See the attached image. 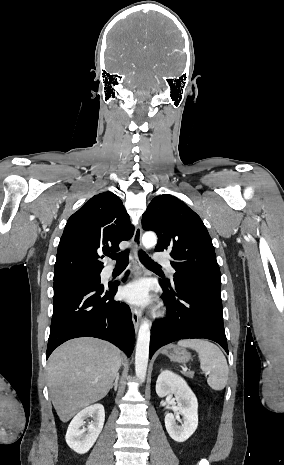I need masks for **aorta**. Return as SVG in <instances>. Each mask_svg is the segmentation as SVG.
I'll use <instances>...</instances> for the list:
<instances>
[{
    "instance_id": "obj_1",
    "label": "aorta",
    "mask_w": 284,
    "mask_h": 465,
    "mask_svg": "<svg viewBox=\"0 0 284 465\" xmlns=\"http://www.w3.org/2000/svg\"><path fill=\"white\" fill-rule=\"evenodd\" d=\"M157 243V237L153 232H146L142 236V244L146 249L154 247ZM150 325L147 319H143L137 338L136 354H135V373L140 382H143L146 377L149 344H150Z\"/></svg>"
}]
</instances>
